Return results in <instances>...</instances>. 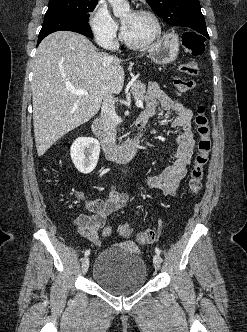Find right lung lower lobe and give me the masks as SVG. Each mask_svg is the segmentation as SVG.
Returning <instances> with one entry per match:
<instances>
[{
    "label": "right lung lower lobe",
    "mask_w": 247,
    "mask_h": 332,
    "mask_svg": "<svg viewBox=\"0 0 247 332\" xmlns=\"http://www.w3.org/2000/svg\"><path fill=\"white\" fill-rule=\"evenodd\" d=\"M55 31H73L87 37H93L88 23L82 19L73 17H50L44 19L41 31L38 36V44L47 35Z\"/></svg>",
    "instance_id": "right-lung-lower-lobe-1"
}]
</instances>
